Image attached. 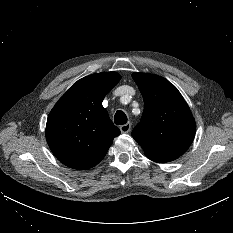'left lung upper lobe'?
<instances>
[{
  "label": "left lung upper lobe",
  "mask_w": 233,
  "mask_h": 233,
  "mask_svg": "<svg viewBox=\"0 0 233 233\" xmlns=\"http://www.w3.org/2000/svg\"><path fill=\"white\" fill-rule=\"evenodd\" d=\"M144 99L141 121L132 131L145 155L155 162L177 159L191 145L196 124L181 93L158 75L133 73Z\"/></svg>",
  "instance_id": "obj_1"
}]
</instances>
